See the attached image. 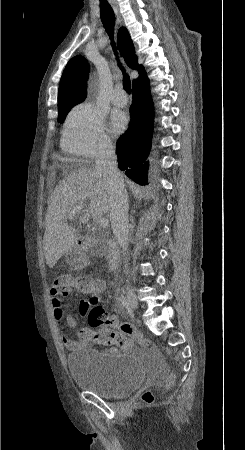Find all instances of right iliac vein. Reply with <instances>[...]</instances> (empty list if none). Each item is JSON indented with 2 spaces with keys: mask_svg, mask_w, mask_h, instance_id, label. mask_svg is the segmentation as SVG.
I'll return each mask as SVG.
<instances>
[{
  "mask_svg": "<svg viewBox=\"0 0 245 450\" xmlns=\"http://www.w3.org/2000/svg\"><path fill=\"white\" fill-rule=\"evenodd\" d=\"M127 299H128L131 309L137 310L138 309V300H137V297H136L133 289L130 286H127Z\"/></svg>",
  "mask_w": 245,
  "mask_h": 450,
  "instance_id": "1",
  "label": "right iliac vein"
}]
</instances>
